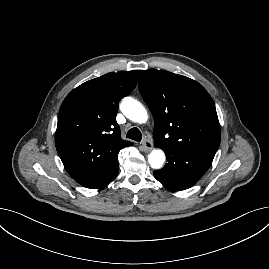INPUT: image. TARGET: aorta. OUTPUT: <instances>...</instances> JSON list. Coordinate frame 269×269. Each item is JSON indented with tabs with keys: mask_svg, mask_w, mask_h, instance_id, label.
<instances>
[{
	"mask_svg": "<svg viewBox=\"0 0 269 269\" xmlns=\"http://www.w3.org/2000/svg\"><path fill=\"white\" fill-rule=\"evenodd\" d=\"M120 109L133 122L144 123L148 119L145 107L131 97H126L122 100ZM165 160L166 156L162 149H153L148 155V163L153 169H161Z\"/></svg>",
	"mask_w": 269,
	"mask_h": 269,
	"instance_id": "1",
	"label": "aorta"
}]
</instances>
